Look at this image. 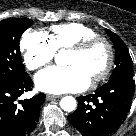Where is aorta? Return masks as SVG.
I'll use <instances>...</instances> for the list:
<instances>
[{
    "mask_svg": "<svg viewBox=\"0 0 136 136\" xmlns=\"http://www.w3.org/2000/svg\"><path fill=\"white\" fill-rule=\"evenodd\" d=\"M55 62L58 65L65 64L64 52L60 51L55 55ZM60 106L64 111L71 112L76 108V100L72 96L63 97L60 101Z\"/></svg>",
    "mask_w": 136,
    "mask_h": 136,
    "instance_id": "obj_1",
    "label": "aorta"
}]
</instances>
